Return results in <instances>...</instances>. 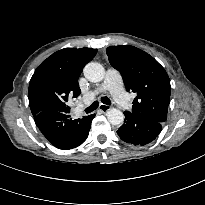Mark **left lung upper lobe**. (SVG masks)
Segmentation results:
<instances>
[{
	"label": "left lung upper lobe",
	"mask_w": 205,
	"mask_h": 205,
	"mask_svg": "<svg viewBox=\"0 0 205 205\" xmlns=\"http://www.w3.org/2000/svg\"><path fill=\"white\" fill-rule=\"evenodd\" d=\"M107 55L110 64L121 73L127 91L137 94L132 111L125 112L165 122L171 86L164 68L152 56L134 46H110Z\"/></svg>",
	"instance_id": "obj_1"
}]
</instances>
